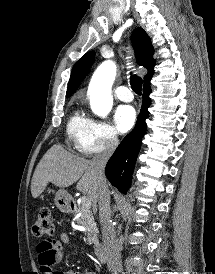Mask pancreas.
<instances>
[{
	"label": "pancreas",
	"instance_id": "cf45deb5",
	"mask_svg": "<svg viewBox=\"0 0 215 274\" xmlns=\"http://www.w3.org/2000/svg\"><path fill=\"white\" fill-rule=\"evenodd\" d=\"M76 213L79 214V217L76 219V223L86 229L85 242L88 244L98 243V228L96 222L94 221L92 212L83 207H79Z\"/></svg>",
	"mask_w": 215,
	"mask_h": 274
}]
</instances>
